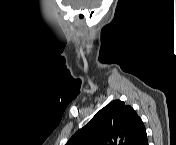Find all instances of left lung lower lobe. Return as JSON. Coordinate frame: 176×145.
Here are the masks:
<instances>
[{
  "label": "left lung lower lobe",
  "instance_id": "left-lung-lower-lobe-1",
  "mask_svg": "<svg viewBox=\"0 0 176 145\" xmlns=\"http://www.w3.org/2000/svg\"><path fill=\"white\" fill-rule=\"evenodd\" d=\"M138 145H148L147 134L145 133L140 139Z\"/></svg>",
  "mask_w": 176,
  "mask_h": 145
}]
</instances>
